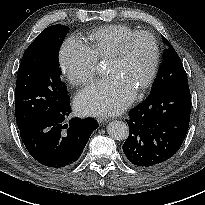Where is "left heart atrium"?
<instances>
[{
    "label": "left heart atrium",
    "instance_id": "obj_1",
    "mask_svg": "<svg viewBox=\"0 0 205 205\" xmlns=\"http://www.w3.org/2000/svg\"><path fill=\"white\" fill-rule=\"evenodd\" d=\"M136 90L124 79L110 76L81 91L75 108L82 115H111L121 112L135 98Z\"/></svg>",
    "mask_w": 205,
    "mask_h": 205
}]
</instances>
